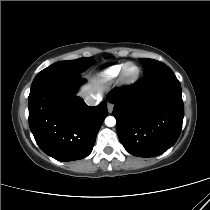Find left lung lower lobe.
Returning a JSON list of instances; mask_svg holds the SVG:
<instances>
[{
    "label": "left lung lower lobe",
    "instance_id": "obj_1",
    "mask_svg": "<svg viewBox=\"0 0 210 210\" xmlns=\"http://www.w3.org/2000/svg\"><path fill=\"white\" fill-rule=\"evenodd\" d=\"M107 99L114 104L120 142L130 154L158 156L177 141L184 107L180 82L168 66L112 90Z\"/></svg>",
    "mask_w": 210,
    "mask_h": 210
}]
</instances>
